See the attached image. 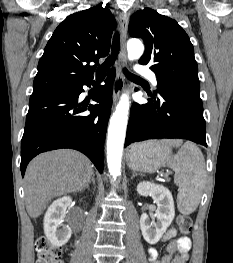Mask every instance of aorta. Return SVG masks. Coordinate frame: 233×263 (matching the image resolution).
Wrapping results in <instances>:
<instances>
[{
	"mask_svg": "<svg viewBox=\"0 0 233 263\" xmlns=\"http://www.w3.org/2000/svg\"><path fill=\"white\" fill-rule=\"evenodd\" d=\"M127 50L129 60H137L142 56L144 46L140 40L133 38L128 41ZM129 107V96L127 94H123L110 119L108 128L107 164L109 172L114 179L121 174V160L128 122Z\"/></svg>",
	"mask_w": 233,
	"mask_h": 263,
	"instance_id": "aorta-1",
	"label": "aorta"
}]
</instances>
